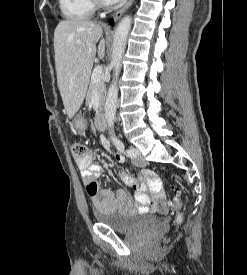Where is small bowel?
I'll return each instance as SVG.
<instances>
[{
	"label": "small bowel",
	"instance_id": "c3829d8e",
	"mask_svg": "<svg viewBox=\"0 0 247 275\" xmlns=\"http://www.w3.org/2000/svg\"><path fill=\"white\" fill-rule=\"evenodd\" d=\"M118 162H124V157L116 155ZM83 182L94 184L96 192L89 194L94 207L104 213H131L135 211L155 212L167 206L165 192L158 175L151 170L140 172L141 183L136 182L127 174H122L123 182L133 188V198L125 191H112L100 189L98 179L102 174L101 166L95 161L94 154L90 153L85 158L76 161Z\"/></svg>",
	"mask_w": 247,
	"mask_h": 275
}]
</instances>
